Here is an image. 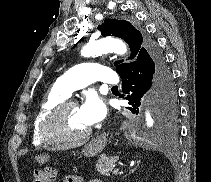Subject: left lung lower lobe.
Instances as JSON below:
<instances>
[{"instance_id": "left-lung-lower-lobe-1", "label": "left lung lower lobe", "mask_w": 211, "mask_h": 182, "mask_svg": "<svg viewBox=\"0 0 211 182\" xmlns=\"http://www.w3.org/2000/svg\"><path fill=\"white\" fill-rule=\"evenodd\" d=\"M123 98L129 100L133 113L144 94L155 104L161 121H168L176 110V89L165 58L154 42L137 55L133 65L120 75Z\"/></svg>"}]
</instances>
